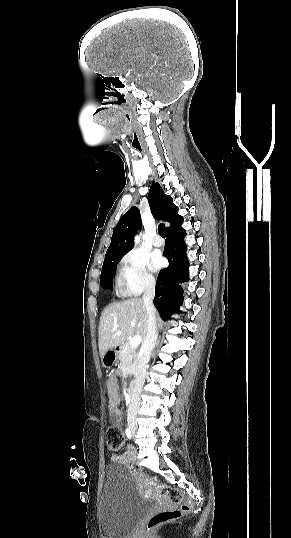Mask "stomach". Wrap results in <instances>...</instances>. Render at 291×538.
<instances>
[{
	"instance_id": "obj_1",
	"label": "stomach",
	"mask_w": 291,
	"mask_h": 538,
	"mask_svg": "<svg viewBox=\"0 0 291 538\" xmlns=\"http://www.w3.org/2000/svg\"><path fill=\"white\" fill-rule=\"evenodd\" d=\"M118 360V354L115 349L107 350L102 356V364L106 368L112 367Z\"/></svg>"
}]
</instances>
